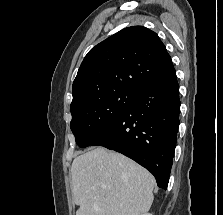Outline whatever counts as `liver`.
I'll use <instances>...</instances> for the list:
<instances>
[{
    "mask_svg": "<svg viewBox=\"0 0 223 215\" xmlns=\"http://www.w3.org/2000/svg\"><path fill=\"white\" fill-rule=\"evenodd\" d=\"M71 175L76 215H140L154 199L152 173L100 145L73 159Z\"/></svg>",
    "mask_w": 223,
    "mask_h": 215,
    "instance_id": "obj_1",
    "label": "liver"
}]
</instances>
